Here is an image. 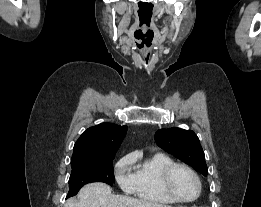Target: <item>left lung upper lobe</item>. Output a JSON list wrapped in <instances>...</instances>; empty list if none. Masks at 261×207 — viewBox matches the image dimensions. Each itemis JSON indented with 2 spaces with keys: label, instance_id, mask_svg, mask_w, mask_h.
<instances>
[{
  "label": "left lung upper lobe",
  "instance_id": "obj_1",
  "mask_svg": "<svg viewBox=\"0 0 261 207\" xmlns=\"http://www.w3.org/2000/svg\"><path fill=\"white\" fill-rule=\"evenodd\" d=\"M155 141L166 152L189 164L204 176L208 174L199 138L192 130L176 127L160 129L155 133Z\"/></svg>",
  "mask_w": 261,
  "mask_h": 207
}]
</instances>
